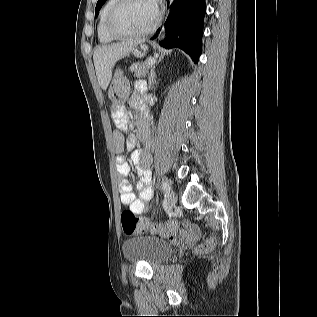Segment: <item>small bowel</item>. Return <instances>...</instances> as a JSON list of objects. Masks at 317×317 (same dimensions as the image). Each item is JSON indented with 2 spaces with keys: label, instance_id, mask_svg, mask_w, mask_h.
Returning a JSON list of instances; mask_svg holds the SVG:
<instances>
[{
  "label": "small bowel",
  "instance_id": "1",
  "mask_svg": "<svg viewBox=\"0 0 317 317\" xmlns=\"http://www.w3.org/2000/svg\"><path fill=\"white\" fill-rule=\"evenodd\" d=\"M145 90V84L142 81H137L135 84V94L132 97L131 104L135 109H141L142 103L139 94ZM113 121L116 129L112 132V146L117 154L116 168L118 173L123 177L119 183V193L121 204L129 207L135 214H143L148 209V204L153 198V190L151 187V172L149 169V132L148 125L144 115L137 118V135L129 134L127 137V125L129 121L128 113L121 109L113 112ZM137 139L143 143V148L135 149ZM132 150L131 160L136 166V171L139 175L137 183L138 197L133 192L131 183L127 180L130 174V164L126 161L123 152L124 150ZM196 235V230L193 227H185L177 230L170 236L173 241L189 242Z\"/></svg>",
  "mask_w": 317,
  "mask_h": 317
}]
</instances>
